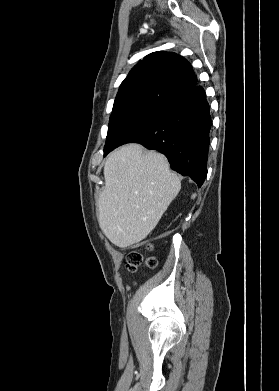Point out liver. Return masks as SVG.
<instances>
[{
    "label": "liver",
    "mask_w": 279,
    "mask_h": 391,
    "mask_svg": "<svg viewBox=\"0 0 279 391\" xmlns=\"http://www.w3.org/2000/svg\"><path fill=\"white\" fill-rule=\"evenodd\" d=\"M105 187L97 202L99 226L114 245L126 248L145 239L181 189L167 158L129 144L111 153Z\"/></svg>",
    "instance_id": "1"
}]
</instances>
